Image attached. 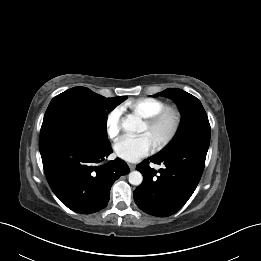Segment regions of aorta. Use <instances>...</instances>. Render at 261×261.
<instances>
[{
	"instance_id": "aorta-1",
	"label": "aorta",
	"mask_w": 261,
	"mask_h": 261,
	"mask_svg": "<svg viewBox=\"0 0 261 261\" xmlns=\"http://www.w3.org/2000/svg\"><path fill=\"white\" fill-rule=\"evenodd\" d=\"M122 128L126 132L140 133L143 131V122L141 118L129 114L122 120ZM143 181V176L139 171H132L129 173V182L132 185H140Z\"/></svg>"
}]
</instances>
